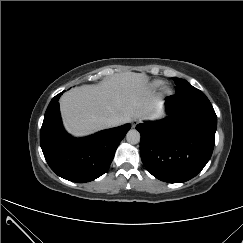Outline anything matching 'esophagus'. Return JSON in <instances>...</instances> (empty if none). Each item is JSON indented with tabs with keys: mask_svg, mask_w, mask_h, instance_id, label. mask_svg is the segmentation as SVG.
I'll return each instance as SVG.
<instances>
[{
	"mask_svg": "<svg viewBox=\"0 0 243 243\" xmlns=\"http://www.w3.org/2000/svg\"><path fill=\"white\" fill-rule=\"evenodd\" d=\"M139 123V121L137 119H132L131 121V124H132V127L135 128L137 126V124Z\"/></svg>",
	"mask_w": 243,
	"mask_h": 243,
	"instance_id": "1",
	"label": "esophagus"
}]
</instances>
